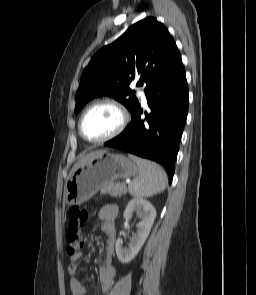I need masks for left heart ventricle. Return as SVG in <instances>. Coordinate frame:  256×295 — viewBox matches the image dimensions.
I'll list each match as a JSON object with an SVG mask.
<instances>
[{
  "instance_id": "obj_1",
  "label": "left heart ventricle",
  "mask_w": 256,
  "mask_h": 295,
  "mask_svg": "<svg viewBox=\"0 0 256 295\" xmlns=\"http://www.w3.org/2000/svg\"><path fill=\"white\" fill-rule=\"evenodd\" d=\"M120 115L110 105H100L92 109L83 123L84 134L93 140L111 134L119 125Z\"/></svg>"
}]
</instances>
